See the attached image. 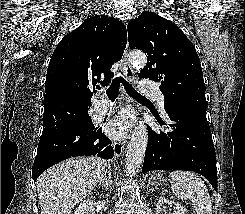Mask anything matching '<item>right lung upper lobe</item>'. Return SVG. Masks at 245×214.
Here are the masks:
<instances>
[{"mask_svg": "<svg viewBox=\"0 0 245 214\" xmlns=\"http://www.w3.org/2000/svg\"><path fill=\"white\" fill-rule=\"evenodd\" d=\"M126 42V27L108 16L88 18L64 36L47 69L43 126L89 109L97 82H111L110 68L121 59Z\"/></svg>", "mask_w": 245, "mask_h": 214, "instance_id": "right-lung-upper-lobe-1", "label": "right lung upper lobe"}]
</instances>
